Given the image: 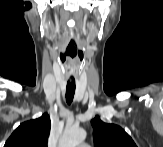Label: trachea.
Segmentation results:
<instances>
[{
	"mask_svg": "<svg viewBox=\"0 0 163 147\" xmlns=\"http://www.w3.org/2000/svg\"><path fill=\"white\" fill-rule=\"evenodd\" d=\"M75 89H76V85H75V81H68L67 82V86H66V102L67 104H71L74 98V94H75Z\"/></svg>",
	"mask_w": 163,
	"mask_h": 147,
	"instance_id": "trachea-1",
	"label": "trachea"
}]
</instances>
